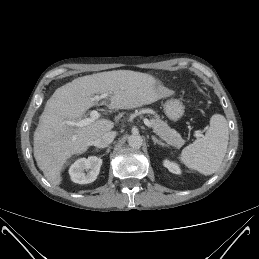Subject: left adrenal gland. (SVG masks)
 <instances>
[{"mask_svg":"<svg viewBox=\"0 0 259 259\" xmlns=\"http://www.w3.org/2000/svg\"><path fill=\"white\" fill-rule=\"evenodd\" d=\"M151 138H152V140H153L155 145L158 144V145H160L162 147H166L167 146L165 143H163L160 140H158L155 136L152 135Z\"/></svg>","mask_w":259,"mask_h":259,"instance_id":"a2214340","label":"left adrenal gland"}]
</instances>
